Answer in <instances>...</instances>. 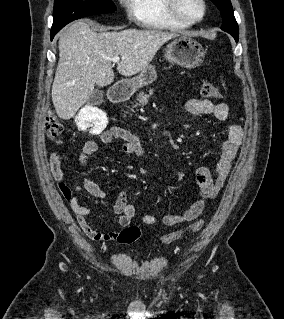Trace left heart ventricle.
<instances>
[{
	"mask_svg": "<svg viewBox=\"0 0 284 319\" xmlns=\"http://www.w3.org/2000/svg\"><path fill=\"white\" fill-rule=\"evenodd\" d=\"M180 13L189 20H195L201 17L203 6L200 0H178Z\"/></svg>",
	"mask_w": 284,
	"mask_h": 319,
	"instance_id": "left-heart-ventricle-1",
	"label": "left heart ventricle"
}]
</instances>
